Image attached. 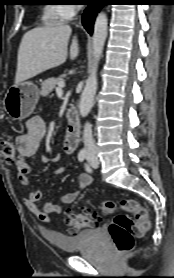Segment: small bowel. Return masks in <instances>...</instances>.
Here are the masks:
<instances>
[{"mask_svg": "<svg viewBox=\"0 0 174 278\" xmlns=\"http://www.w3.org/2000/svg\"><path fill=\"white\" fill-rule=\"evenodd\" d=\"M46 126L44 120L35 116L26 123V131L16 138L17 155L14 165L17 171V177L21 185L29 184L30 166L27 158L33 156L39 149L40 143L45 135ZM65 168L59 167L55 174L64 173ZM93 183V177L90 174L83 173L78 178V189L68 192L61 197L64 204H70L76 200L80 190L90 186ZM42 199V192L38 189L27 192L23 197L24 205L39 220L43 222L51 221V214H59L61 207L57 204L46 202L39 206L38 202Z\"/></svg>", "mask_w": 174, "mask_h": 278, "instance_id": "obj_1", "label": "small bowel"}]
</instances>
